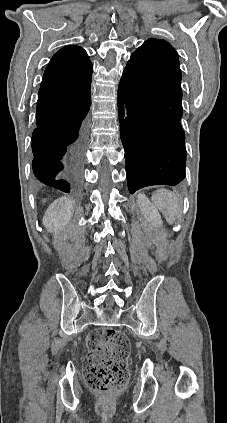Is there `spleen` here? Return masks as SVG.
<instances>
[{
    "mask_svg": "<svg viewBox=\"0 0 227 423\" xmlns=\"http://www.w3.org/2000/svg\"><path fill=\"white\" fill-rule=\"evenodd\" d=\"M152 202L157 210L162 211L166 221L173 225L182 210V200H180L179 196L174 194V192H170V190L160 188V190L154 192Z\"/></svg>",
    "mask_w": 227,
    "mask_h": 423,
    "instance_id": "3e777b00",
    "label": "spleen"
}]
</instances>
